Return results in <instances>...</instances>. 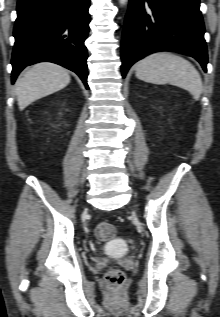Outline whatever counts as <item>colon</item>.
Segmentation results:
<instances>
[{
  "label": "colon",
  "instance_id": "obj_1",
  "mask_svg": "<svg viewBox=\"0 0 220 317\" xmlns=\"http://www.w3.org/2000/svg\"><path fill=\"white\" fill-rule=\"evenodd\" d=\"M115 228L107 222H100L96 225L95 235L98 240L106 241L113 237ZM105 281L108 288L112 291L120 290L125 283V274L118 269H111L105 274Z\"/></svg>",
  "mask_w": 220,
  "mask_h": 317
}]
</instances>
